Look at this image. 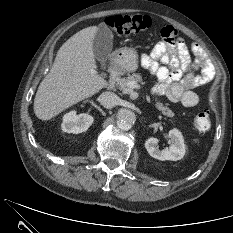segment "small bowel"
I'll use <instances>...</instances> for the list:
<instances>
[{
    "label": "small bowel",
    "mask_w": 233,
    "mask_h": 233,
    "mask_svg": "<svg viewBox=\"0 0 233 233\" xmlns=\"http://www.w3.org/2000/svg\"><path fill=\"white\" fill-rule=\"evenodd\" d=\"M161 35L151 53L141 57L142 65L157 79L154 93L186 107L196 106L199 96L194 89L212 80L214 67L201 46H188L173 27L163 28Z\"/></svg>",
    "instance_id": "c3829d8e"
}]
</instances>
